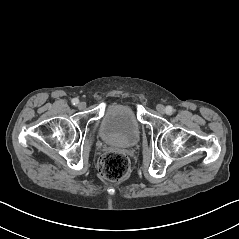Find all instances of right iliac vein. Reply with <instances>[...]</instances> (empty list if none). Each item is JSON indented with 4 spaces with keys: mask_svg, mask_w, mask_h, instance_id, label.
<instances>
[{
    "mask_svg": "<svg viewBox=\"0 0 239 239\" xmlns=\"http://www.w3.org/2000/svg\"><path fill=\"white\" fill-rule=\"evenodd\" d=\"M79 109H85L86 108V103L85 102H80L78 105Z\"/></svg>",
    "mask_w": 239,
    "mask_h": 239,
    "instance_id": "right-iliac-vein-1",
    "label": "right iliac vein"
}]
</instances>
